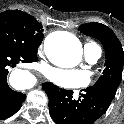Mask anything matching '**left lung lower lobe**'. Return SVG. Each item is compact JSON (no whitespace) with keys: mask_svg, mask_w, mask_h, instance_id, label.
Instances as JSON below:
<instances>
[{"mask_svg":"<svg viewBox=\"0 0 124 124\" xmlns=\"http://www.w3.org/2000/svg\"><path fill=\"white\" fill-rule=\"evenodd\" d=\"M49 98V112L57 124H93L108 109L114 96L105 89L88 87L79 99L73 98V91L43 83Z\"/></svg>","mask_w":124,"mask_h":124,"instance_id":"0a47b994","label":"left lung lower lobe"}]
</instances>
